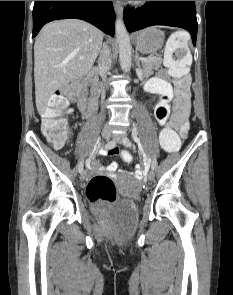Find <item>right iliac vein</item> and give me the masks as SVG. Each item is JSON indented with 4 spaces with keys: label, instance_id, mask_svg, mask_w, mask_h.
<instances>
[{
    "label": "right iliac vein",
    "instance_id": "right-iliac-vein-1",
    "mask_svg": "<svg viewBox=\"0 0 233 295\" xmlns=\"http://www.w3.org/2000/svg\"><path fill=\"white\" fill-rule=\"evenodd\" d=\"M111 136V131L109 128H104L103 131H102V137L103 139H106L108 140ZM87 177V170H84L82 173H81V179L84 180L85 178Z\"/></svg>",
    "mask_w": 233,
    "mask_h": 295
}]
</instances>
